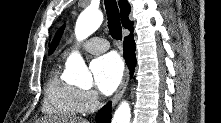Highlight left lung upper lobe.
Instances as JSON below:
<instances>
[{
  "instance_id": "left-lung-upper-lobe-1",
  "label": "left lung upper lobe",
  "mask_w": 221,
  "mask_h": 123,
  "mask_svg": "<svg viewBox=\"0 0 221 123\" xmlns=\"http://www.w3.org/2000/svg\"><path fill=\"white\" fill-rule=\"evenodd\" d=\"M63 29H64V27H61V28L57 31V33H56V35H55V37H54V39H53V41H52V43H51V46H50V49H49V54L53 53L54 50L56 49V47H57V45H58V43H59V41H60V38H61V36H62Z\"/></svg>"
}]
</instances>
